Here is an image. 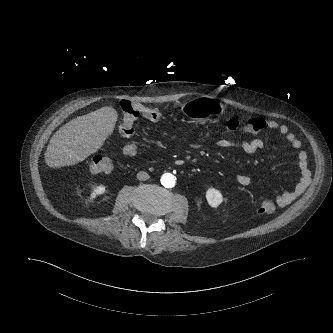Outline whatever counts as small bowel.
I'll return each instance as SVG.
<instances>
[{"mask_svg": "<svg viewBox=\"0 0 333 333\" xmlns=\"http://www.w3.org/2000/svg\"><path fill=\"white\" fill-rule=\"evenodd\" d=\"M138 107H144L136 105ZM267 128L270 130L278 131V133L289 143L294 150H300L301 141L296 135L290 131L289 127L285 124H281L276 120H268ZM219 148L229 149L234 148L241 151L244 154H253L264 148V141L261 138H254L251 140H232V139H220L216 142ZM190 149H198L201 147L198 143H190L187 145ZM120 153L124 157H134L138 153V146L134 142H124L120 146ZM298 166L301 172V179L298 184L290 191L286 192H274V197L279 207H285L293 202L302 192L305 187V183L308 179V158L304 151H299L297 154ZM236 182L241 186H248L251 184V178L246 174H238L236 176Z\"/></svg>", "mask_w": 333, "mask_h": 333, "instance_id": "obj_1", "label": "small bowel"}]
</instances>
